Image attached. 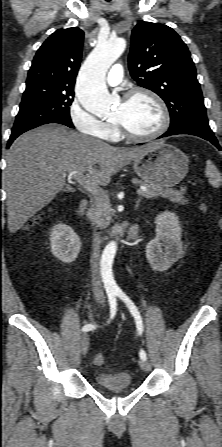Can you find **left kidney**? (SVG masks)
Instances as JSON below:
<instances>
[{"instance_id":"5707ae66","label":"left kidney","mask_w":222,"mask_h":447,"mask_svg":"<svg viewBox=\"0 0 222 447\" xmlns=\"http://www.w3.org/2000/svg\"><path fill=\"white\" fill-rule=\"evenodd\" d=\"M155 224L156 237L146 246V257L153 270L164 272L177 262L182 254V230L178 216L169 211L160 213Z\"/></svg>"}]
</instances>
